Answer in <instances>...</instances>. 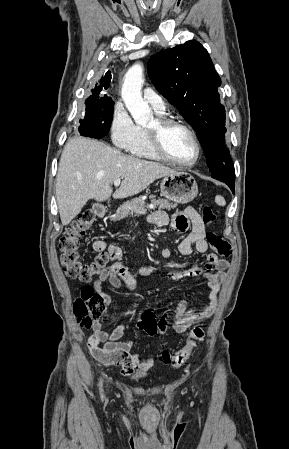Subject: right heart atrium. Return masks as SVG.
<instances>
[{
    "instance_id": "1",
    "label": "right heart atrium",
    "mask_w": 289,
    "mask_h": 449,
    "mask_svg": "<svg viewBox=\"0 0 289 449\" xmlns=\"http://www.w3.org/2000/svg\"><path fill=\"white\" fill-rule=\"evenodd\" d=\"M110 132L116 147L133 151L141 138V128L134 122L131 115L121 104L113 110L110 122Z\"/></svg>"
}]
</instances>
